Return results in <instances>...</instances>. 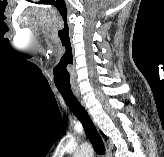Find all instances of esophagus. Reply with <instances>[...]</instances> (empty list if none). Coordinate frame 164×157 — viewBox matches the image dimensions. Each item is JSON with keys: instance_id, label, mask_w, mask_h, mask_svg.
I'll list each match as a JSON object with an SVG mask.
<instances>
[{"instance_id": "obj_1", "label": "esophagus", "mask_w": 164, "mask_h": 157, "mask_svg": "<svg viewBox=\"0 0 164 157\" xmlns=\"http://www.w3.org/2000/svg\"><path fill=\"white\" fill-rule=\"evenodd\" d=\"M73 93L77 97V99L80 101V103L82 105H84V101H83V98H82V96L80 94V91L75 89V90H73Z\"/></svg>"}]
</instances>
